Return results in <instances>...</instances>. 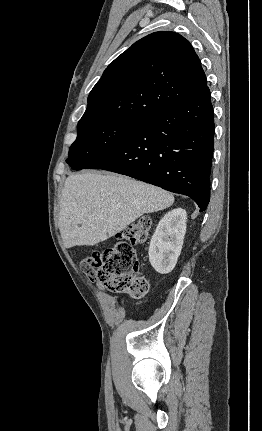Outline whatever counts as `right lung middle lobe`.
<instances>
[{
    "instance_id": "obj_1",
    "label": "right lung middle lobe",
    "mask_w": 262,
    "mask_h": 431,
    "mask_svg": "<svg viewBox=\"0 0 262 431\" xmlns=\"http://www.w3.org/2000/svg\"><path fill=\"white\" fill-rule=\"evenodd\" d=\"M140 121L113 120L78 124L77 139L69 149L66 162L74 170L86 168L126 137Z\"/></svg>"
}]
</instances>
